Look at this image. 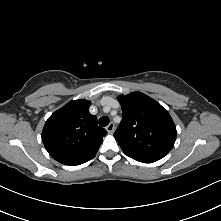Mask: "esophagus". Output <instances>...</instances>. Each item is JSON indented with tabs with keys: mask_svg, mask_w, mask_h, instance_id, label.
I'll return each mask as SVG.
<instances>
[{
	"mask_svg": "<svg viewBox=\"0 0 221 221\" xmlns=\"http://www.w3.org/2000/svg\"><path fill=\"white\" fill-rule=\"evenodd\" d=\"M114 130H115V126H114L113 123H110V124L106 127V131H107L108 133H110V134L113 133Z\"/></svg>",
	"mask_w": 221,
	"mask_h": 221,
	"instance_id": "obj_1",
	"label": "esophagus"
}]
</instances>
